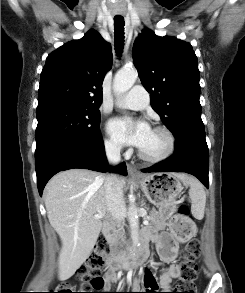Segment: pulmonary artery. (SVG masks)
I'll list each match as a JSON object with an SVG mask.
<instances>
[{
  "label": "pulmonary artery",
  "mask_w": 245,
  "mask_h": 293,
  "mask_svg": "<svg viewBox=\"0 0 245 293\" xmlns=\"http://www.w3.org/2000/svg\"><path fill=\"white\" fill-rule=\"evenodd\" d=\"M150 98L147 90L142 86H134L126 95L116 102L117 106L133 110H140L149 105Z\"/></svg>",
  "instance_id": "obj_1"
}]
</instances>
